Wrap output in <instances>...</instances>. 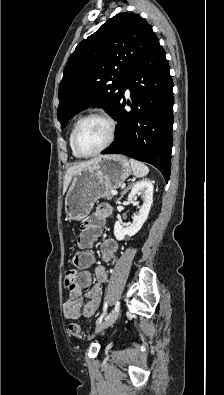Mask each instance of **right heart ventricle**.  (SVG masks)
<instances>
[{
	"instance_id": "obj_1",
	"label": "right heart ventricle",
	"mask_w": 224,
	"mask_h": 395,
	"mask_svg": "<svg viewBox=\"0 0 224 395\" xmlns=\"http://www.w3.org/2000/svg\"><path fill=\"white\" fill-rule=\"evenodd\" d=\"M74 127H75V125H74L73 128L71 129V132H70V135H69V146H70V148H71V151H72L73 156H74L75 158H78V156L76 155V153H75L74 150H73V145H72V138H73Z\"/></svg>"
}]
</instances>
